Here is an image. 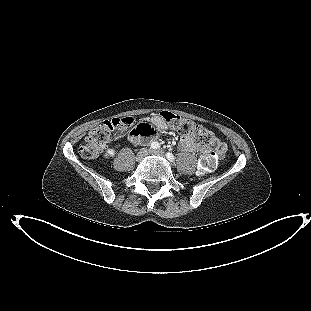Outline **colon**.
<instances>
[{
	"instance_id": "1",
	"label": "colon",
	"mask_w": 311,
	"mask_h": 311,
	"mask_svg": "<svg viewBox=\"0 0 311 311\" xmlns=\"http://www.w3.org/2000/svg\"><path fill=\"white\" fill-rule=\"evenodd\" d=\"M163 120L185 135H190L198 144L210 146L199 161V171L201 173L210 172L217 164L219 158L223 157L225 146L213 134L203 126L193 122L188 118L181 117L172 112H162ZM132 125V118L118 117L106 120L93 128L85 138L79 151L86 159L96 158L101 150L105 148L113 139L120 137ZM135 135H153V129L140 127L135 130Z\"/></svg>"
}]
</instances>
